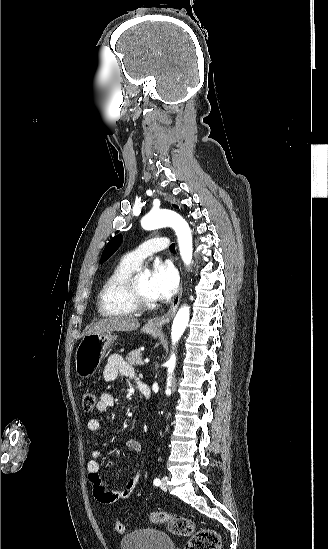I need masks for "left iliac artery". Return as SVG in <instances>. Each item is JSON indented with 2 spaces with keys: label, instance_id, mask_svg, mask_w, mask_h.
Instances as JSON below:
<instances>
[{
  "label": "left iliac artery",
  "instance_id": "1",
  "mask_svg": "<svg viewBox=\"0 0 328 549\" xmlns=\"http://www.w3.org/2000/svg\"><path fill=\"white\" fill-rule=\"evenodd\" d=\"M153 483L154 485L159 486L161 484V481L156 478Z\"/></svg>",
  "mask_w": 328,
  "mask_h": 549
}]
</instances>
